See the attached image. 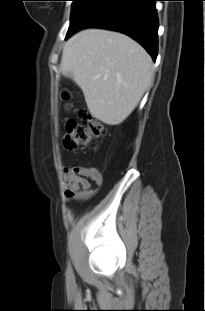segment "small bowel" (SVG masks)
<instances>
[{
	"mask_svg": "<svg viewBox=\"0 0 205 311\" xmlns=\"http://www.w3.org/2000/svg\"><path fill=\"white\" fill-rule=\"evenodd\" d=\"M91 182L100 186L103 182L101 172L84 165H74L65 169V194L69 199L88 200L95 191L91 190Z\"/></svg>",
	"mask_w": 205,
	"mask_h": 311,
	"instance_id": "obj_1",
	"label": "small bowel"
}]
</instances>
